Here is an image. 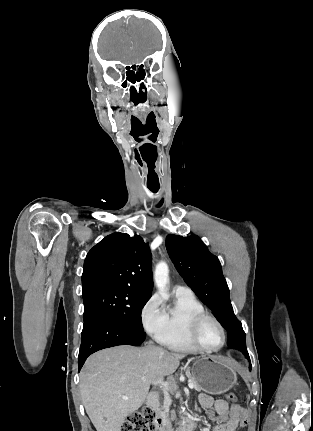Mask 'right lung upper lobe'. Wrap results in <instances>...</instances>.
<instances>
[{"label":"right lung upper lobe","mask_w":313,"mask_h":431,"mask_svg":"<svg viewBox=\"0 0 313 431\" xmlns=\"http://www.w3.org/2000/svg\"><path fill=\"white\" fill-rule=\"evenodd\" d=\"M130 288L150 295L153 288L151 253L141 236L116 232L87 254L82 274V296L110 289Z\"/></svg>","instance_id":"right-lung-upper-lobe-1"}]
</instances>
